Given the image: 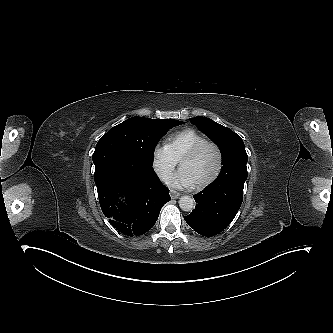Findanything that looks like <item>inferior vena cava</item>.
Here are the masks:
<instances>
[{"mask_svg":"<svg viewBox=\"0 0 333 333\" xmlns=\"http://www.w3.org/2000/svg\"><path fill=\"white\" fill-rule=\"evenodd\" d=\"M161 179L167 184L169 181V176L166 172L160 174Z\"/></svg>","mask_w":333,"mask_h":333,"instance_id":"inferior-vena-cava-1","label":"inferior vena cava"}]
</instances>
